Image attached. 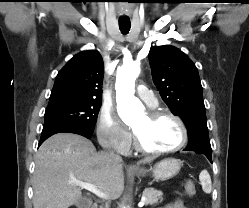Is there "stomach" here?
Wrapping results in <instances>:
<instances>
[{"instance_id": "1", "label": "stomach", "mask_w": 249, "mask_h": 208, "mask_svg": "<svg viewBox=\"0 0 249 208\" xmlns=\"http://www.w3.org/2000/svg\"><path fill=\"white\" fill-rule=\"evenodd\" d=\"M181 169V161L175 158L164 159L154 165L151 170L140 168L132 171L137 176H145L149 171L152 172L156 180L165 181L176 176Z\"/></svg>"}]
</instances>
